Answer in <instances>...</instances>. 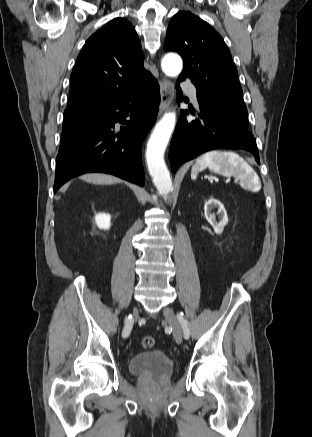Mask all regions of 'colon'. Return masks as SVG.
I'll return each instance as SVG.
<instances>
[{
    "mask_svg": "<svg viewBox=\"0 0 312 437\" xmlns=\"http://www.w3.org/2000/svg\"><path fill=\"white\" fill-rule=\"evenodd\" d=\"M141 345L145 349H150L154 346V339L151 336H144L141 339Z\"/></svg>",
    "mask_w": 312,
    "mask_h": 437,
    "instance_id": "obj_1",
    "label": "colon"
}]
</instances>
